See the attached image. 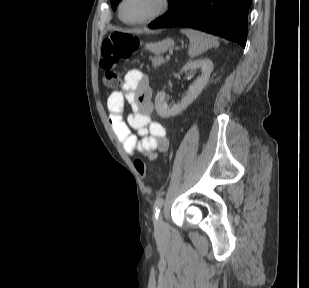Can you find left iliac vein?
<instances>
[{"mask_svg":"<svg viewBox=\"0 0 309 288\" xmlns=\"http://www.w3.org/2000/svg\"><path fill=\"white\" fill-rule=\"evenodd\" d=\"M155 230L158 235H162L166 233V225L163 221L162 214H160L155 221Z\"/></svg>","mask_w":309,"mask_h":288,"instance_id":"1","label":"left iliac vein"}]
</instances>
